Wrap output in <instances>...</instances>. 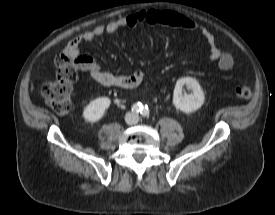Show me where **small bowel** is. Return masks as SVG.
<instances>
[{
  "instance_id": "obj_1",
  "label": "small bowel",
  "mask_w": 275,
  "mask_h": 215,
  "mask_svg": "<svg viewBox=\"0 0 275 215\" xmlns=\"http://www.w3.org/2000/svg\"><path fill=\"white\" fill-rule=\"evenodd\" d=\"M142 23L151 26L178 27L190 32L200 33L208 44L209 58L217 62L218 68L222 71H229L233 68L232 56L218 48L213 34L206 28L176 11L159 9L139 11L106 24H100L70 40L61 55L67 57L76 70L85 73L89 78L103 86L135 88L144 80V73L141 70H134L128 75H118L104 71L92 56L80 53V46L104 34H112L122 28L131 29Z\"/></svg>"
}]
</instances>
